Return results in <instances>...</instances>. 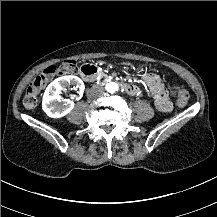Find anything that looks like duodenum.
Returning a JSON list of instances; mask_svg holds the SVG:
<instances>
[{
    "mask_svg": "<svg viewBox=\"0 0 217 217\" xmlns=\"http://www.w3.org/2000/svg\"><path fill=\"white\" fill-rule=\"evenodd\" d=\"M81 76L86 82H93L97 75V67L93 64H84L81 67ZM122 88L124 91L130 95H134L137 93L138 88L133 84H123Z\"/></svg>",
    "mask_w": 217,
    "mask_h": 217,
    "instance_id": "1",
    "label": "duodenum"
}]
</instances>
